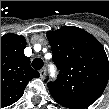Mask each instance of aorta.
<instances>
[{"instance_id":"aorta-1","label":"aorta","mask_w":109,"mask_h":109,"mask_svg":"<svg viewBox=\"0 0 109 109\" xmlns=\"http://www.w3.org/2000/svg\"><path fill=\"white\" fill-rule=\"evenodd\" d=\"M49 71H50V75H51L52 77H55V75H56V70H55V67H54L53 65H50Z\"/></svg>"}]
</instances>
